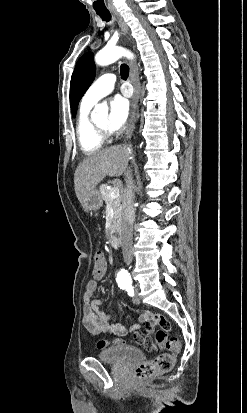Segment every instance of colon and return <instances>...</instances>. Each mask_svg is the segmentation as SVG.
I'll list each match as a JSON object with an SVG mask.
<instances>
[{
  "mask_svg": "<svg viewBox=\"0 0 247 413\" xmlns=\"http://www.w3.org/2000/svg\"><path fill=\"white\" fill-rule=\"evenodd\" d=\"M105 260V251L99 249L96 251V254L92 255V276L98 278L101 274H104L108 269V266L104 262ZM156 346L160 347L165 343L166 340L172 344V349L169 353H160L159 349L155 350V353L158 354L157 357L151 361L140 365L136 372L134 373L135 381H152L153 375L166 373L173 369L174 367V356L179 353L178 340L175 337H167V332H158L156 337ZM122 341L116 339L115 344H120ZM109 344L106 340H99L96 344L97 348L103 349ZM160 353V354H159Z\"/></svg>",
  "mask_w": 247,
  "mask_h": 413,
  "instance_id": "1",
  "label": "colon"
}]
</instances>
